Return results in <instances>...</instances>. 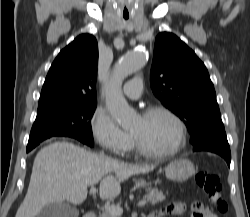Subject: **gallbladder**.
Here are the masks:
<instances>
[{
    "label": "gallbladder",
    "instance_id": "bac80fb5",
    "mask_svg": "<svg viewBox=\"0 0 250 217\" xmlns=\"http://www.w3.org/2000/svg\"><path fill=\"white\" fill-rule=\"evenodd\" d=\"M79 211L64 202L51 203L45 206L37 217H78Z\"/></svg>",
    "mask_w": 250,
    "mask_h": 217
}]
</instances>
